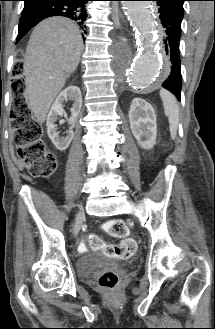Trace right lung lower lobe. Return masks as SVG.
<instances>
[{"instance_id":"1","label":"right lung lower lobe","mask_w":215,"mask_h":329,"mask_svg":"<svg viewBox=\"0 0 215 329\" xmlns=\"http://www.w3.org/2000/svg\"><path fill=\"white\" fill-rule=\"evenodd\" d=\"M87 1L89 0H24L16 43L38 22L51 16L69 17L87 34Z\"/></svg>"}]
</instances>
